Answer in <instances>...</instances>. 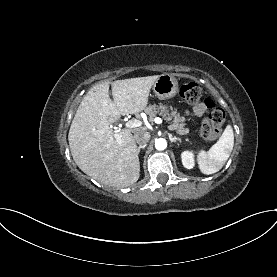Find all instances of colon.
I'll return each instance as SVG.
<instances>
[{
    "label": "colon",
    "instance_id": "obj_1",
    "mask_svg": "<svg viewBox=\"0 0 277 277\" xmlns=\"http://www.w3.org/2000/svg\"><path fill=\"white\" fill-rule=\"evenodd\" d=\"M180 96L188 103H196L202 97V89L197 83H185L180 87ZM204 103L209 112L202 122L201 137L206 142H213L222 132L226 114L222 108L215 105L212 98L206 97Z\"/></svg>",
    "mask_w": 277,
    "mask_h": 277
}]
</instances>
